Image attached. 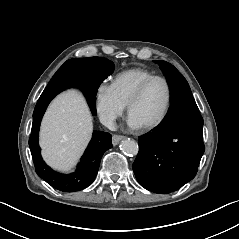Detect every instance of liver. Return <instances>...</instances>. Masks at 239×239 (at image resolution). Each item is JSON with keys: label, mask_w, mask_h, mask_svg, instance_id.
Listing matches in <instances>:
<instances>
[{"label": "liver", "mask_w": 239, "mask_h": 239, "mask_svg": "<svg viewBox=\"0 0 239 239\" xmlns=\"http://www.w3.org/2000/svg\"><path fill=\"white\" fill-rule=\"evenodd\" d=\"M92 117L76 93H64L49 106L41 125V147L47 162L59 169L73 166L92 131Z\"/></svg>", "instance_id": "liver-1"}]
</instances>
